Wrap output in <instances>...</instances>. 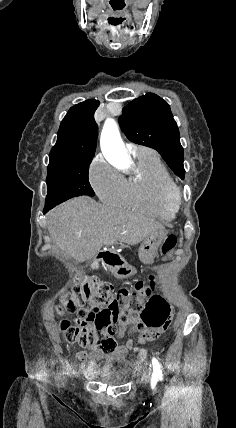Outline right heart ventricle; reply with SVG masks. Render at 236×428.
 Returning a JSON list of instances; mask_svg holds the SVG:
<instances>
[{"label": "right heart ventricle", "mask_w": 236, "mask_h": 428, "mask_svg": "<svg viewBox=\"0 0 236 428\" xmlns=\"http://www.w3.org/2000/svg\"><path fill=\"white\" fill-rule=\"evenodd\" d=\"M126 159L134 173L125 179L123 205L139 209L162 221L173 220L177 208L164 201L162 188L174 182V178L158 155L149 148L139 147Z\"/></svg>", "instance_id": "1"}]
</instances>
